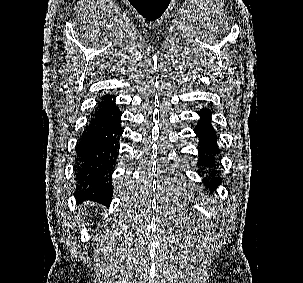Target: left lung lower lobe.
<instances>
[{
  "label": "left lung lower lobe",
  "instance_id": "obj_1",
  "mask_svg": "<svg viewBox=\"0 0 303 283\" xmlns=\"http://www.w3.org/2000/svg\"><path fill=\"white\" fill-rule=\"evenodd\" d=\"M201 120L199 121V124L194 129L196 135L200 137V148H199V165L204 166H216L215 164V158L214 156L219 152L218 146L216 144L217 142V136L215 134L214 128L212 127L210 123V110L203 109L199 112ZM218 166V165H217ZM211 176H214V174H211ZM221 178H218L214 181H205L210 185V190L213 191V189H216V184L219 183ZM215 184V186H214ZM213 187V189H212Z\"/></svg>",
  "mask_w": 303,
  "mask_h": 283
}]
</instances>
